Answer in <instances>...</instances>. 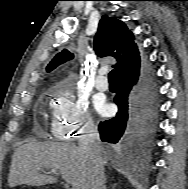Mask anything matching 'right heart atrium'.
<instances>
[{"mask_svg": "<svg viewBox=\"0 0 188 189\" xmlns=\"http://www.w3.org/2000/svg\"><path fill=\"white\" fill-rule=\"evenodd\" d=\"M95 122L85 100L76 97L66 87L54 92L51 130L55 137L74 140L95 130Z\"/></svg>", "mask_w": 188, "mask_h": 189, "instance_id": "obj_1", "label": "right heart atrium"}]
</instances>
